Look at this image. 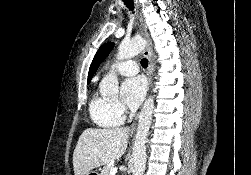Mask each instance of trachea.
<instances>
[{
    "label": "trachea",
    "mask_w": 251,
    "mask_h": 175,
    "mask_svg": "<svg viewBox=\"0 0 251 175\" xmlns=\"http://www.w3.org/2000/svg\"><path fill=\"white\" fill-rule=\"evenodd\" d=\"M124 1V4L126 5V7L132 11L134 13V3H133V0H123ZM141 65L143 68H146L148 66V60L147 58H143L141 60Z\"/></svg>",
    "instance_id": "trachea-1"
}]
</instances>
